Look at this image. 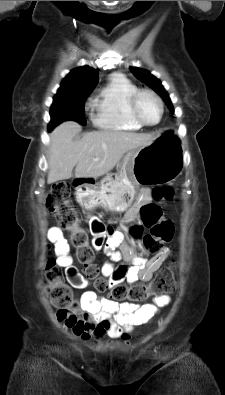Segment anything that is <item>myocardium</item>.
Segmentation results:
<instances>
[{
    "label": "myocardium",
    "mask_w": 225,
    "mask_h": 395,
    "mask_svg": "<svg viewBox=\"0 0 225 395\" xmlns=\"http://www.w3.org/2000/svg\"><path fill=\"white\" fill-rule=\"evenodd\" d=\"M143 96H150L153 98L159 107V118L155 123L146 122L139 113V101ZM129 111L132 118L142 127H153L158 125L163 118L164 115V104L162 99L158 94L149 89H138L129 100Z\"/></svg>",
    "instance_id": "obj_1"
}]
</instances>
